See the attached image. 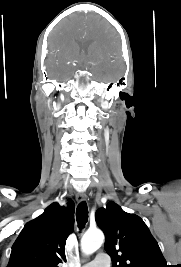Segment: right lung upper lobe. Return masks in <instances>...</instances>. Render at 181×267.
I'll use <instances>...</instances> for the list:
<instances>
[{
  "mask_svg": "<svg viewBox=\"0 0 181 267\" xmlns=\"http://www.w3.org/2000/svg\"><path fill=\"white\" fill-rule=\"evenodd\" d=\"M74 229V204L49 205L42 215L28 222L14 245L7 267H58L66 261L65 242Z\"/></svg>",
  "mask_w": 181,
  "mask_h": 267,
  "instance_id": "right-lung-upper-lobe-1",
  "label": "right lung upper lobe"
}]
</instances>
